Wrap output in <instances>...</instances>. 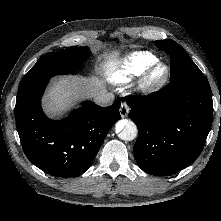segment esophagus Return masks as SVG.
Returning <instances> with one entry per match:
<instances>
[{"instance_id": "obj_1", "label": "esophagus", "mask_w": 221, "mask_h": 221, "mask_svg": "<svg viewBox=\"0 0 221 221\" xmlns=\"http://www.w3.org/2000/svg\"><path fill=\"white\" fill-rule=\"evenodd\" d=\"M129 113V106L127 105L126 102H121V107H120V115L122 118H125L128 116Z\"/></svg>"}]
</instances>
